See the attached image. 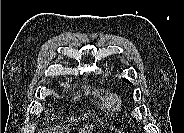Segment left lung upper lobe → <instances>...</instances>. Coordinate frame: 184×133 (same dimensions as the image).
<instances>
[{"label": "left lung upper lobe", "mask_w": 184, "mask_h": 133, "mask_svg": "<svg viewBox=\"0 0 184 133\" xmlns=\"http://www.w3.org/2000/svg\"><path fill=\"white\" fill-rule=\"evenodd\" d=\"M125 82L132 84L129 80L122 78Z\"/></svg>", "instance_id": "left-lung-upper-lobe-1"}]
</instances>
